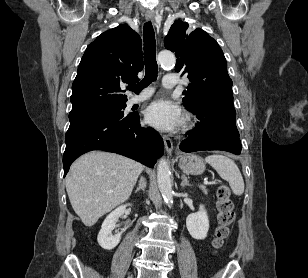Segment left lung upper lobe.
Listing matches in <instances>:
<instances>
[{"label": "left lung upper lobe", "mask_w": 308, "mask_h": 278, "mask_svg": "<svg viewBox=\"0 0 308 278\" xmlns=\"http://www.w3.org/2000/svg\"><path fill=\"white\" fill-rule=\"evenodd\" d=\"M186 22L177 20L165 37V47L175 52L176 71H183L191 81L183 92L184 106L191 110L206 100L232 94V80L218 43L200 28L190 32Z\"/></svg>", "instance_id": "1"}]
</instances>
